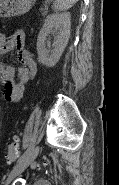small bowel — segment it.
<instances>
[{
    "instance_id": "1",
    "label": "small bowel",
    "mask_w": 119,
    "mask_h": 185,
    "mask_svg": "<svg viewBox=\"0 0 119 185\" xmlns=\"http://www.w3.org/2000/svg\"><path fill=\"white\" fill-rule=\"evenodd\" d=\"M16 49L21 67L18 69V79L14 80V69L8 65H0V82L7 101L17 102L24 96L25 85L37 73V65L30 51L25 48V33L16 30L9 35H1L0 53L6 54ZM9 81V85L6 82Z\"/></svg>"
}]
</instances>
